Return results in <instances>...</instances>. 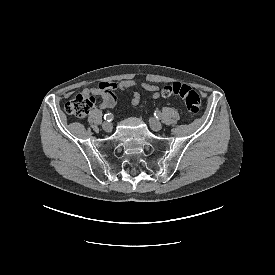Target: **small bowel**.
Returning <instances> with one entry per match:
<instances>
[{
  "label": "small bowel",
  "mask_w": 275,
  "mask_h": 275,
  "mask_svg": "<svg viewBox=\"0 0 275 275\" xmlns=\"http://www.w3.org/2000/svg\"><path fill=\"white\" fill-rule=\"evenodd\" d=\"M141 88L146 92L151 93V98L156 99L160 97V87L151 82H141L138 83L133 79H123L118 82H101L97 87L86 88L83 91L85 96H98L102 99V102L98 105L99 109L113 108L116 105V99L113 91L119 89L122 91ZM141 93L135 91L133 93L132 100L130 102V107H135L140 103Z\"/></svg>",
  "instance_id": "c3829d8e"
}]
</instances>
